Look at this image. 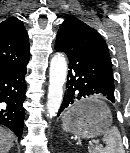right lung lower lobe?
<instances>
[{
    "mask_svg": "<svg viewBox=\"0 0 130 153\" xmlns=\"http://www.w3.org/2000/svg\"><path fill=\"white\" fill-rule=\"evenodd\" d=\"M26 65L0 70V124L12 130L20 139L25 111Z\"/></svg>",
    "mask_w": 130,
    "mask_h": 153,
    "instance_id": "1",
    "label": "right lung lower lobe"
}]
</instances>
